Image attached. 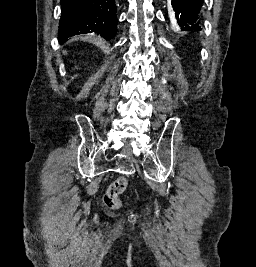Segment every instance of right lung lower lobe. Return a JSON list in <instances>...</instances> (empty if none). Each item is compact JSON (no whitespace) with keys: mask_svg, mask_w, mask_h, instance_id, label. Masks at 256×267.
I'll use <instances>...</instances> for the list:
<instances>
[{"mask_svg":"<svg viewBox=\"0 0 256 267\" xmlns=\"http://www.w3.org/2000/svg\"><path fill=\"white\" fill-rule=\"evenodd\" d=\"M58 39L63 44L74 35L96 32L111 39L117 32L115 0H61Z\"/></svg>","mask_w":256,"mask_h":267,"instance_id":"obj_1","label":"right lung lower lobe"}]
</instances>
